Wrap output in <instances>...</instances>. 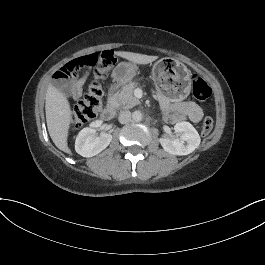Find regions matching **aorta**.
Returning a JSON list of instances; mask_svg holds the SVG:
<instances>
[{
  "instance_id": "762f6f07",
  "label": "aorta",
  "mask_w": 265,
  "mask_h": 265,
  "mask_svg": "<svg viewBox=\"0 0 265 265\" xmlns=\"http://www.w3.org/2000/svg\"><path fill=\"white\" fill-rule=\"evenodd\" d=\"M132 119L135 121V122H139L142 120V113L140 111H135L133 112L132 114Z\"/></svg>"
}]
</instances>
